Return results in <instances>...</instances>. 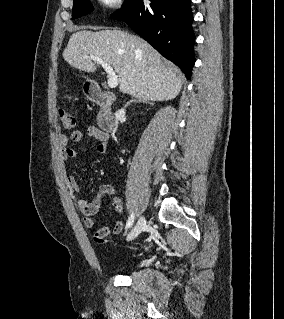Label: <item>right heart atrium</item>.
Listing matches in <instances>:
<instances>
[{
    "label": "right heart atrium",
    "mask_w": 284,
    "mask_h": 319,
    "mask_svg": "<svg viewBox=\"0 0 284 319\" xmlns=\"http://www.w3.org/2000/svg\"><path fill=\"white\" fill-rule=\"evenodd\" d=\"M105 10H116L122 5V0H96Z\"/></svg>",
    "instance_id": "d8ad5b80"
}]
</instances>
